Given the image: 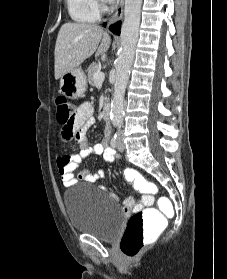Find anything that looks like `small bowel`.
I'll list each match as a JSON object with an SVG mask.
<instances>
[{
  "label": "small bowel",
  "instance_id": "c3829d8e",
  "mask_svg": "<svg viewBox=\"0 0 227 279\" xmlns=\"http://www.w3.org/2000/svg\"><path fill=\"white\" fill-rule=\"evenodd\" d=\"M93 107L91 103L86 102L81 105L75 116L74 129L71 131L70 136H73L80 147V152L73 155L61 156L56 161V168L61 177L62 183L65 187H71L79 181L94 182L103 177L102 170L97 173H93L91 167H86L75 175L77 167L85 160L88 155L91 154H103L104 161L111 163L117 158L115 150L105 145L109 142V137L104 139L103 143L91 144L86 137V129L94 124V118L92 116ZM78 129V130H76ZM107 135L111 132L109 126L105 127ZM134 171L132 168L123 169V174L127 178V173ZM114 200H118L115 195H111ZM153 202L152 196H145L141 200H138L134 196L128 197L123 205L127 210H139L143 206L151 205Z\"/></svg>",
  "mask_w": 227,
  "mask_h": 279
}]
</instances>
